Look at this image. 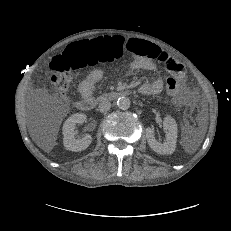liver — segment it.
Returning a JSON list of instances; mask_svg holds the SVG:
<instances>
[{
  "label": "liver",
  "instance_id": "obj_1",
  "mask_svg": "<svg viewBox=\"0 0 231 231\" xmlns=\"http://www.w3.org/2000/svg\"><path fill=\"white\" fill-rule=\"evenodd\" d=\"M38 145H39L42 149H44V150H46V151L51 150L52 147H53V143L45 144L44 142H38Z\"/></svg>",
  "mask_w": 231,
  "mask_h": 231
}]
</instances>
